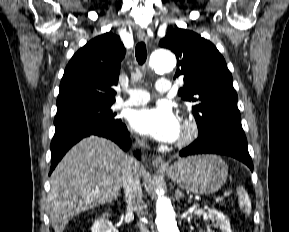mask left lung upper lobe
Listing matches in <instances>:
<instances>
[{
	"mask_svg": "<svg viewBox=\"0 0 289 232\" xmlns=\"http://www.w3.org/2000/svg\"><path fill=\"white\" fill-rule=\"evenodd\" d=\"M159 45L176 55L174 78L184 79L178 94L193 104L198 136L222 128H242L232 75L217 48L193 31L180 28L167 32Z\"/></svg>",
	"mask_w": 289,
	"mask_h": 232,
	"instance_id": "5c2ea615",
	"label": "left lung upper lobe"
}]
</instances>
